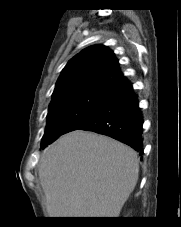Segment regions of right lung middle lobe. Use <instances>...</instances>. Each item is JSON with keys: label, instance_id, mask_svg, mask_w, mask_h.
Wrapping results in <instances>:
<instances>
[{"label": "right lung middle lobe", "instance_id": "right-lung-middle-lobe-1", "mask_svg": "<svg viewBox=\"0 0 181 227\" xmlns=\"http://www.w3.org/2000/svg\"><path fill=\"white\" fill-rule=\"evenodd\" d=\"M111 90L78 93L50 103L42 144L52 143L72 126L93 114L107 100Z\"/></svg>", "mask_w": 181, "mask_h": 227}]
</instances>
